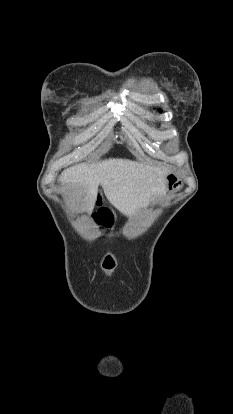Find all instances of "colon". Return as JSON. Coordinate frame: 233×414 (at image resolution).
I'll use <instances>...</instances> for the list:
<instances>
[{
  "label": "colon",
  "mask_w": 233,
  "mask_h": 414,
  "mask_svg": "<svg viewBox=\"0 0 233 414\" xmlns=\"http://www.w3.org/2000/svg\"><path fill=\"white\" fill-rule=\"evenodd\" d=\"M101 220L105 223V224H110L111 222V218L107 213H103L101 215Z\"/></svg>",
  "instance_id": "1"
}]
</instances>
